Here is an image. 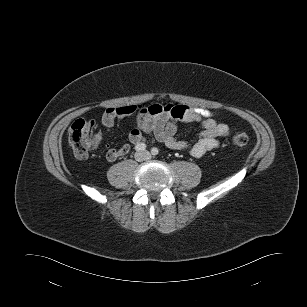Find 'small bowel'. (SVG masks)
<instances>
[{
  "mask_svg": "<svg viewBox=\"0 0 307 307\" xmlns=\"http://www.w3.org/2000/svg\"><path fill=\"white\" fill-rule=\"evenodd\" d=\"M137 114L136 126L128 134L129 143H124L119 148H110L106 153L108 161H115L125 156L130 151V144L137 145L145 141V135L164 143L174 150H186L195 158L202 157L208 151L219 147V138L229 134L226 124L218 123L210 111L193 108L185 105L153 104L148 107L140 105H125L116 108H108L102 117L104 126L112 128L115 122L125 116ZM179 122L197 123L201 127L199 138L193 142H187L177 137V125ZM95 147L103 140V133L95 134Z\"/></svg>",
  "mask_w": 307,
  "mask_h": 307,
  "instance_id": "1",
  "label": "small bowel"
}]
</instances>
